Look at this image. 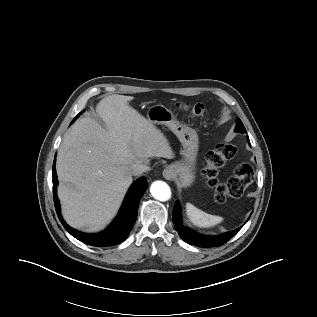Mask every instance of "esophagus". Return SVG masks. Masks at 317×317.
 Segmentation results:
<instances>
[{"label":"esophagus","mask_w":317,"mask_h":317,"mask_svg":"<svg viewBox=\"0 0 317 317\" xmlns=\"http://www.w3.org/2000/svg\"><path fill=\"white\" fill-rule=\"evenodd\" d=\"M163 176L165 179L167 180H172L175 176V170L173 169V167H166L164 170H163Z\"/></svg>","instance_id":"obj_1"}]
</instances>
